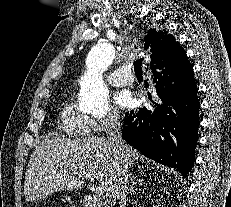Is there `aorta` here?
I'll use <instances>...</instances> for the list:
<instances>
[{
	"mask_svg": "<svg viewBox=\"0 0 231 207\" xmlns=\"http://www.w3.org/2000/svg\"><path fill=\"white\" fill-rule=\"evenodd\" d=\"M115 58V49L109 42H99L89 51L86 73L80 81L79 105L89 112L108 110L109 91L103 82V74Z\"/></svg>",
	"mask_w": 231,
	"mask_h": 207,
	"instance_id": "762f6f07",
	"label": "aorta"
}]
</instances>
